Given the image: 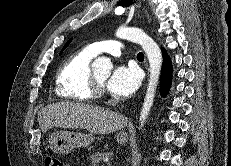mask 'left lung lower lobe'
<instances>
[{"instance_id": "0a47b994", "label": "left lung lower lobe", "mask_w": 231, "mask_h": 166, "mask_svg": "<svg viewBox=\"0 0 231 166\" xmlns=\"http://www.w3.org/2000/svg\"><path fill=\"white\" fill-rule=\"evenodd\" d=\"M163 66L161 70V94L162 96H166L169 92L170 85L172 82V64L169 55L166 53V51L163 49Z\"/></svg>"}]
</instances>
